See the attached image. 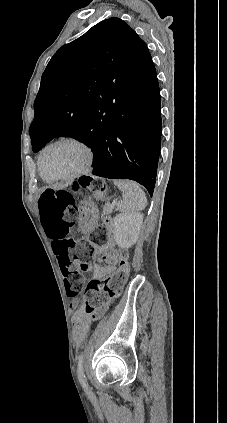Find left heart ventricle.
<instances>
[{"mask_svg":"<svg viewBox=\"0 0 227 423\" xmlns=\"http://www.w3.org/2000/svg\"><path fill=\"white\" fill-rule=\"evenodd\" d=\"M86 160L85 151L78 145L63 143L49 149L44 155L45 170L51 175L71 174Z\"/></svg>","mask_w":227,"mask_h":423,"instance_id":"1","label":"left heart ventricle"}]
</instances>
